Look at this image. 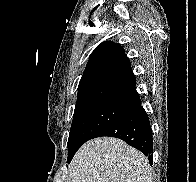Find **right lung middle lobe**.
Wrapping results in <instances>:
<instances>
[{"label":"right lung middle lobe","mask_w":196,"mask_h":182,"mask_svg":"<svg viewBox=\"0 0 196 182\" xmlns=\"http://www.w3.org/2000/svg\"><path fill=\"white\" fill-rule=\"evenodd\" d=\"M134 107L112 102H98L74 110L68 139L69 163L76 151L102 128L122 117Z\"/></svg>","instance_id":"1"}]
</instances>
